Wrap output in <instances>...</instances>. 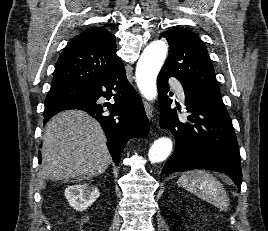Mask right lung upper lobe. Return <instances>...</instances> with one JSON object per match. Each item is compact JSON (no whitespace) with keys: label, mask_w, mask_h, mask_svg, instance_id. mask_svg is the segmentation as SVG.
Listing matches in <instances>:
<instances>
[{"label":"right lung upper lobe","mask_w":268,"mask_h":231,"mask_svg":"<svg viewBox=\"0 0 268 231\" xmlns=\"http://www.w3.org/2000/svg\"><path fill=\"white\" fill-rule=\"evenodd\" d=\"M122 61L116 55L115 36L102 27L91 28L75 36L59 57L51 86L88 87L117 68ZM63 102L46 104L53 107Z\"/></svg>","instance_id":"obj_1"}]
</instances>
